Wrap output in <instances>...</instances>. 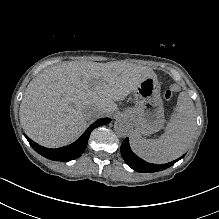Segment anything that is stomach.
Listing matches in <instances>:
<instances>
[{"label":"stomach","instance_id":"1","mask_svg":"<svg viewBox=\"0 0 219 219\" xmlns=\"http://www.w3.org/2000/svg\"><path fill=\"white\" fill-rule=\"evenodd\" d=\"M135 105L126 110L136 131L143 136L158 132L165 123L160 83L155 77L144 79L134 91Z\"/></svg>","mask_w":219,"mask_h":219}]
</instances>
